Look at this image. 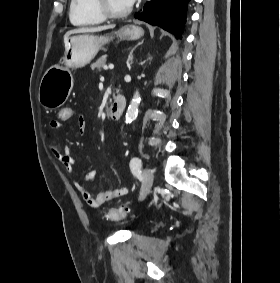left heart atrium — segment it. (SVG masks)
Listing matches in <instances>:
<instances>
[{
	"label": "left heart atrium",
	"mask_w": 280,
	"mask_h": 283,
	"mask_svg": "<svg viewBox=\"0 0 280 283\" xmlns=\"http://www.w3.org/2000/svg\"><path fill=\"white\" fill-rule=\"evenodd\" d=\"M127 2H128L130 5H132V4L135 2V0H127Z\"/></svg>",
	"instance_id": "39dd6f15"
}]
</instances>
